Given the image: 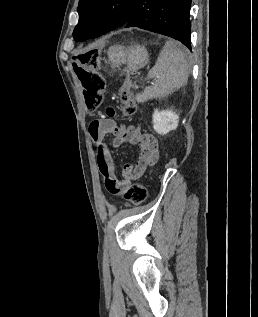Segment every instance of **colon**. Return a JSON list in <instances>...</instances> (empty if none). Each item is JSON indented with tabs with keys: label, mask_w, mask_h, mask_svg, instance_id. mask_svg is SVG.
<instances>
[{
	"label": "colon",
	"mask_w": 258,
	"mask_h": 317,
	"mask_svg": "<svg viewBox=\"0 0 258 317\" xmlns=\"http://www.w3.org/2000/svg\"><path fill=\"white\" fill-rule=\"evenodd\" d=\"M72 67L77 75L82 89L85 104L88 110L101 106L105 89V81L99 73L100 51L97 48H88L76 52L72 57ZM118 98L121 103L122 116L129 118L136 112V102L132 91L127 87L119 89ZM109 116L115 115V110L108 108ZM145 186L136 182L129 185L123 192L124 199L129 205H139L146 199Z\"/></svg>",
	"instance_id": "1"
}]
</instances>
